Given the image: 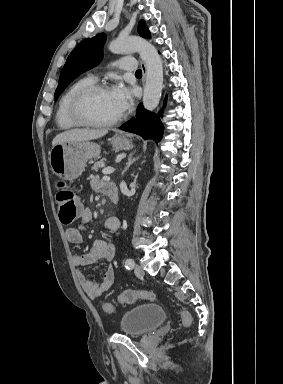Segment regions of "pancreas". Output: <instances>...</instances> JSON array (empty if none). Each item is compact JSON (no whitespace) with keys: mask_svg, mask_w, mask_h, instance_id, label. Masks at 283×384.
Listing matches in <instances>:
<instances>
[{"mask_svg":"<svg viewBox=\"0 0 283 384\" xmlns=\"http://www.w3.org/2000/svg\"><path fill=\"white\" fill-rule=\"evenodd\" d=\"M100 168H105V160H100V162H95L94 166H92L91 170H95L98 172Z\"/></svg>","mask_w":283,"mask_h":384,"instance_id":"cf45deb5","label":"pancreas"}]
</instances>
